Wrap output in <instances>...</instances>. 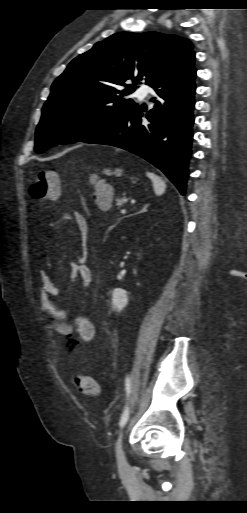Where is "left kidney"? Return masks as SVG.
<instances>
[{
	"mask_svg": "<svg viewBox=\"0 0 247 513\" xmlns=\"http://www.w3.org/2000/svg\"><path fill=\"white\" fill-rule=\"evenodd\" d=\"M128 303L127 292L123 289L116 288L112 293V306L115 310L121 311Z\"/></svg>",
	"mask_w": 247,
	"mask_h": 513,
	"instance_id": "left-kidney-1",
	"label": "left kidney"
}]
</instances>
